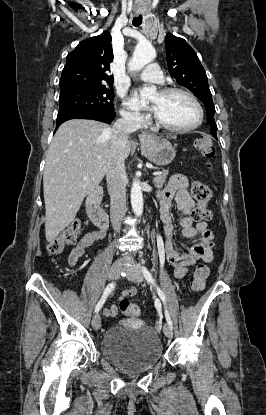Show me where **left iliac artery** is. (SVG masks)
<instances>
[{
	"label": "left iliac artery",
	"mask_w": 266,
	"mask_h": 415,
	"mask_svg": "<svg viewBox=\"0 0 266 415\" xmlns=\"http://www.w3.org/2000/svg\"><path fill=\"white\" fill-rule=\"evenodd\" d=\"M142 273L148 282H150L153 285H156L153 276L151 275L150 271L145 266H142ZM157 292H158L159 297L163 301L164 305H166L165 295L159 287H157ZM157 308H159V306H157ZM165 317H166L167 323L170 325L171 328H173V323H172V320L170 318L169 312L166 309V307H165Z\"/></svg>",
	"instance_id": "left-iliac-artery-1"
}]
</instances>
